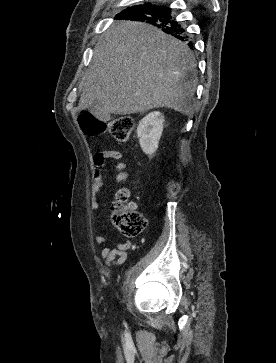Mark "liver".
<instances>
[{"label": "liver", "mask_w": 276, "mask_h": 363, "mask_svg": "<svg viewBox=\"0 0 276 363\" xmlns=\"http://www.w3.org/2000/svg\"><path fill=\"white\" fill-rule=\"evenodd\" d=\"M196 66L193 53L180 40L146 23L119 22L99 37L78 110L98 102L103 113L114 115L159 107L191 115ZM92 114L100 119L98 112Z\"/></svg>", "instance_id": "liver-1"}]
</instances>
